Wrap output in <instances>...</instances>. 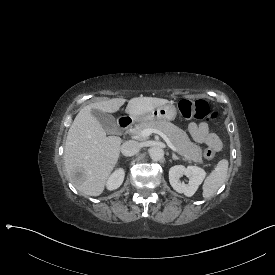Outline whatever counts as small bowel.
I'll return each mask as SVG.
<instances>
[{
	"label": "small bowel",
	"instance_id": "1",
	"mask_svg": "<svg viewBox=\"0 0 275 275\" xmlns=\"http://www.w3.org/2000/svg\"><path fill=\"white\" fill-rule=\"evenodd\" d=\"M189 131L193 139L200 144L207 145L219 151L222 147V143L217 135L209 131L208 124L206 123H190Z\"/></svg>",
	"mask_w": 275,
	"mask_h": 275
}]
</instances>
